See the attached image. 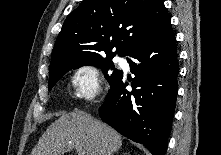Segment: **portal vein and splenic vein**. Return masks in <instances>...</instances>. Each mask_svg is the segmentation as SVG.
I'll return each instance as SVG.
<instances>
[{
    "label": "portal vein and splenic vein",
    "instance_id": "obj_1",
    "mask_svg": "<svg viewBox=\"0 0 221 155\" xmlns=\"http://www.w3.org/2000/svg\"><path fill=\"white\" fill-rule=\"evenodd\" d=\"M72 149L71 147L68 148V150ZM78 152V155H85V153L81 150V149H78V148H75Z\"/></svg>",
    "mask_w": 221,
    "mask_h": 155
}]
</instances>
